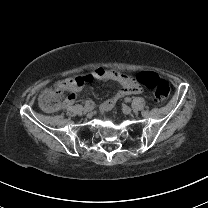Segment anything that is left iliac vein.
Here are the masks:
<instances>
[{"instance_id":"left-iliac-vein-1","label":"left iliac vein","mask_w":208,"mask_h":208,"mask_svg":"<svg viewBox=\"0 0 208 208\" xmlns=\"http://www.w3.org/2000/svg\"><path fill=\"white\" fill-rule=\"evenodd\" d=\"M122 111H123L124 114H131L132 109L127 105H123L122 106Z\"/></svg>"}]
</instances>
